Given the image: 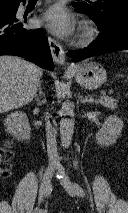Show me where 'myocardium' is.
<instances>
[{
  "instance_id": "obj_1",
  "label": "myocardium",
  "mask_w": 128,
  "mask_h": 213,
  "mask_svg": "<svg viewBox=\"0 0 128 213\" xmlns=\"http://www.w3.org/2000/svg\"><path fill=\"white\" fill-rule=\"evenodd\" d=\"M97 36L96 27L90 22H84L80 28L77 45L85 46L90 44Z\"/></svg>"
}]
</instances>
